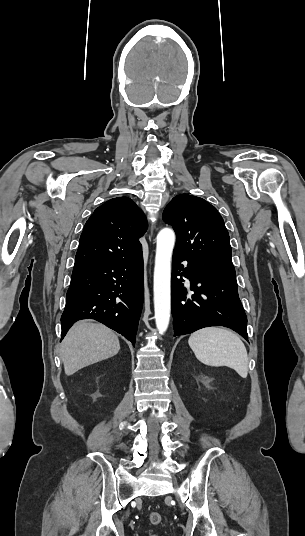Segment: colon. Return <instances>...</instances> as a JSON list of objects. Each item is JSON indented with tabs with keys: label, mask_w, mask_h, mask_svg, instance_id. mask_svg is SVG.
<instances>
[{
	"label": "colon",
	"mask_w": 305,
	"mask_h": 536,
	"mask_svg": "<svg viewBox=\"0 0 305 536\" xmlns=\"http://www.w3.org/2000/svg\"><path fill=\"white\" fill-rule=\"evenodd\" d=\"M149 521L154 525L160 524L162 521L161 514L157 512H152L149 516Z\"/></svg>",
	"instance_id": "colon-1"
}]
</instances>
